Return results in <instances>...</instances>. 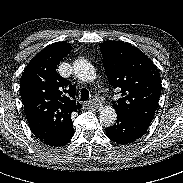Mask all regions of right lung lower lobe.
Segmentation results:
<instances>
[{"label": "right lung lower lobe", "mask_w": 183, "mask_h": 183, "mask_svg": "<svg viewBox=\"0 0 183 183\" xmlns=\"http://www.w3.org/2000/svg\"><path fill=\"white\" fill-rule=\"evenodd\" d=\"M74 132L72 134H70L67 137L64 138H59V139H40L44 144L49 145V146H63L66 143H68L70 141V139L73 137Z\"/></svg>", "instance_id": "obj_1"}]
</instances>
